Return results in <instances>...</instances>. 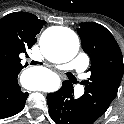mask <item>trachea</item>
<instances>
[{"mask_svg":"<svg viewBox=\"0 0 124 124\" xmlns=\"http://www.w3.org/2000/svg\"><path fill=\"white\" fill-rule=\"evenodd\" d=\"M32 64H36V63L33 62ZM67 76L70 79V81L75 82V76L72 73L68 72Z\"/></svg>","mask_w":124,"mask_h":124,"instance_id":"obj_1","label":"trachea"}]
</instances>
